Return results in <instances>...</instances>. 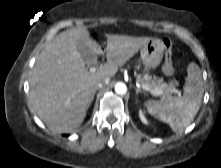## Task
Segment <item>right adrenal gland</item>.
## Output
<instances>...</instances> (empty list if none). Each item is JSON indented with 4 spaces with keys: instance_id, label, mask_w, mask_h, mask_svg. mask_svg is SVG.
<instances>
[{
    "instance_id": "obj_1",
    "label": "right adrenal gland",
    "mask_w": 221,
    "mask_h": 168,
    "mask_svg": "<svg viewBox=\"0 0 221 168\" xmlns=\"http://www.w3.org/2000/svg\"><path fill=\"white\" fill-rule=\"evenodd\" d=\"M99 90V88H95V90L93 91V93H92V95H91V97H90V99H89V102H88V107H90V105H91V103H92V101H93V99H94V96H95V94H96V92Z\"/></svg>"
}]
</instances>
